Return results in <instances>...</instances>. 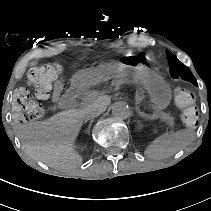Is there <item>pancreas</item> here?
<instances>
[{
	"label": "pancreas",
	"mask_w": 211,
	"mask_h": 211,
	"mask_svg": "<svg viewBox=\"0 0 211 211\" xmlns=\"http://www.w3.org/2000/svg\"><path fill=\"white\" fill-rule=\"evenodd\" d=\"M136 99L141 101L142 97L136 93ZM156 118H160L162 121H165L168 125L170 126H174V118L171 117L169 114L165 113V112H159L157 114L154 115Z\"/></svg>",
	"instance_id": "1"
}]
</instances>
